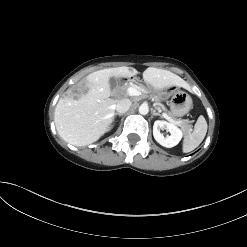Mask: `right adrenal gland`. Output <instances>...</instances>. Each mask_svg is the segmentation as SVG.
Instances as JSON below:
<instances>
[{"instance_id":"2a0ac1e0","label":"right adrenal gland","mask_w":247,"mask_h":247,"mask_svg":"<svg viewBox=\"0 0 247 247\" xmlns=\"http://www.w3.org/2000/svg\"><path fill=\"white\" fill-rule=\"evenodd\" d=\"M117 115H118L119 117H121L123 114L115 113V114H114V117H116ZM114 117H113V119H114Z\"/></svg>"}]
</instances>
